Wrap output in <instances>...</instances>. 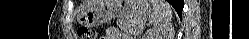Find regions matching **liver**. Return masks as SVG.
<instances>
[{"instance_id": "6515ba94", "label": "liver", "mask_w": 249, "mask_h": 39, "mask_svg": "<svg viewBox=\"0 0 249 39\" xmlns=\"http://www.w3.org/2000/svg\"><path fill=\"white\" fill-rule=\"evenodd\" d=\"M96 1H98V0L87 1V4L85 7L88 8V7L92 6L94 3H96Z\"/></svg>"}]
</instances>
